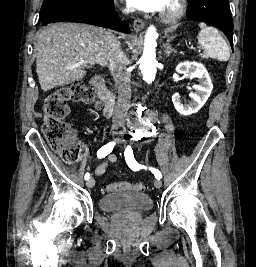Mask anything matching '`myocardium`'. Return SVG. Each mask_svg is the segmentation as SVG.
Returning a JSON list of instances; mask_svg holds the SVG:
<instances>
[{"label": "myocardium", "mask_w": 256, "mask_h": 267, "mask_svg": "<svg viewBox=\"0 0 256 267\" xmlns=\"http://www.w3.org/2000/svg\"><path fill=\"white\" fill-rule=\"evenodd\" d=\"M171 8V16L168 20L162 19V21L166 24H172L174 23L179 17H181L184 13V8L177 3H171L170 4Z\"/></svg>", "instance_id": "1"}]
</instances>
